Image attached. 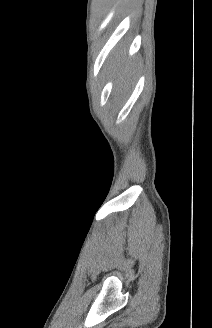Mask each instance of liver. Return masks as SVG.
Masks as SVG:
<instances>
[{"label": "liver", "mask_w": 212, "mask_h": 328, "mask_svg": "<svg viewBox=\"0 0 212 328\" xmlns=\"http://www.w3.org/2000/svg\"><path fill=\"white\" fill-rule=\"evenodd\" d=\"M126 48L121 47L115 53L114 60L111 65V70L113 74L118 73L117 83H120L121 87L126 89L128 84L131 81V77L135 72V64H132L131 61L126 62Z\"/></svg>", "instance_id": "6515ba94"}]
</instances>
